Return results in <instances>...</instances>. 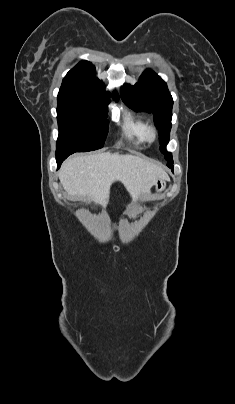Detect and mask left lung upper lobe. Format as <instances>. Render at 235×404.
Returning <instances> with one entry per match:
<instances>
[{"label": "left lung upper lobe", "instance_id": "5c2ea615", "mask_svg": "<svg viewBox=\"0 0 235 404\" xmlns=\"http://www.w3.org/2000/svg\"><path fill=\"white\" fill-rule=\"evenodd\" d=\"M123 101L136 111L153 113L159 132L160 150L168 163L172 154L165 150L171 130L173 99L166 83L151 70H146L134 86L124 85L121 89Z\"/></svg>", "mask_w": 235, "mask_h": 404}]
</instances>
